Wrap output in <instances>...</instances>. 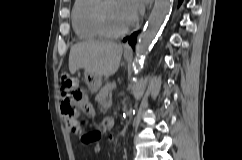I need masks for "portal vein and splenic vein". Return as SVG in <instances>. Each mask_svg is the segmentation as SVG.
I'll list each match as a JSON object with an SVG mask.
<instances>
[{
    "label": "portal vein and splenic vein",
    "instance_id": "1",
    "mask_svg": "<svg viewBox=\"0 0 242 160\" xmlns=\"http://www.w3.org/2000/svg\"><path fill=\"white\" fill-rule=\"evenodd\" d=\"M112 104V100H109L108 102H106V106H110Z\"/></svg>",
    "mask_w": 242,
    "mask_h": 160
}]
</instances>
